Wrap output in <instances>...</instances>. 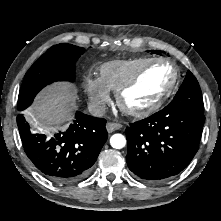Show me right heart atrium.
<instances>
[{"instance_id":"d8ad5b80","label":"right heart atrium","mask_w":221,"mask_h":221,"mask_svg":"<svg viewBox=\"0 0 221 221\" xmlns=\"http://www.w3.org/2000/svg\"><path fill=\"white\" fill-rule=\"evenodd\" d=\"M85 91L89 98L91 106L96 110H102L110 101V90L97 77H86L84 81Z\"/></svg>"}]
</instances>
